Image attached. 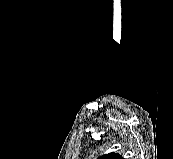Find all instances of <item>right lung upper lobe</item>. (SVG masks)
I'll use <instances>...</instances> for the list:
<instances>
[{
	"label": "right lung upper lobe",
	"mask_w": 173,
	"mask_h": 159,
	"mask_svg": "<svg viewBox=\"0 0 173 159\" xmlns=\"http://www.w3.org/2000/svg\"><path fill=\"white\" fill-rule=\"evenodd\" d=\"M98 159H123V157L116 153H109L98 157Z\"/></svg>",
	"instance_id": "right-lung-upper-lobe-1"
}]
</instances>
